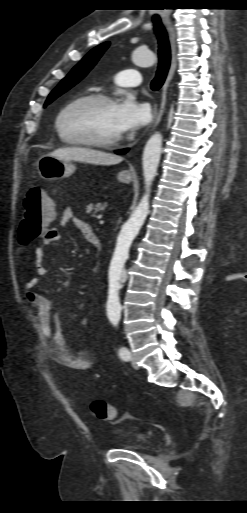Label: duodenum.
Here are the masks:
<instances>
[{"mask_svg": "<svg viewBox=\"0 0 247 513\" xmlns=\"http://www.w3.org/2000/svg\"><path fill=\"white\" fill-rule=\"evenodd\" d=\"M87 240L97 249L101 248L100 239L96 236L95 233H91L87 236Z\"/></svg>", "mask_w": 247, "mask_h": 513, "instance_id": "410a0bca", "label": "duodenum"}]
</instances>
